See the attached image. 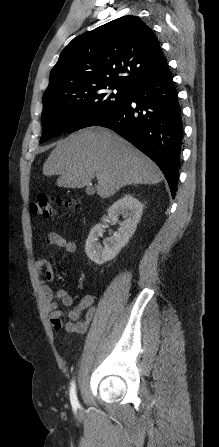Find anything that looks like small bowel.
Here are the masks:
<instances>
[{"mask_svg": "<svg viewBox=\"0 0 219 447\" xmlns=\"http://www.w3.org/2000/svg\"><path fill=\"white\" fill-rule=\"evenodd\" d=\"M46 244L55 248L63 249L68 253H74L76 245L62 235L52 232L46 237ZM36 268L44 273L42 280V298L48 318L55 331L65 330L69 333L81 334L86 332L94 317V297L85 295L79 304L67 311H61L59 306H70L73 303L71 293L65 289L54 292L48 283L55 280L54 270L46 257L37 260Z\"/></svg>", "mask_w": 219, "mask_h": 447, "instance_id": "small-bowel-1", "label": "small bowel"}]
</instances>
